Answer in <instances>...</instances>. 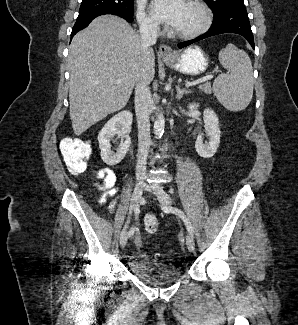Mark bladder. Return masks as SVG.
I'll list each match as a JSON object with an SVG mask.
<instances>
[{
    "label": "bladder",
    "instance_id": "31cf9c89",
    "mask_svg": "<svg viewBox=\"0 0 298 325\" xmlns=\"http://www.w3.org/2000/svg\"><path fill=\"white\" fill-rule=\"evenodd\" d=\"M131 270L136 278L152 286L170 284L181 277L179 268L154 261L143 255L133 256Z\"/></svg>",
    "mask_w": 298,
    "mask_h": 325
}]
</instances>
